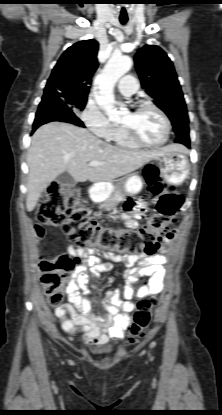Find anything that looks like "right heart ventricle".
<instances>
[{
    "instance_id": "right-heart-ventricle-1",
    "label": "right heart ventricle",
    "mask_w": 222,
    "mask_h": 415,
    "mask_svg": "<svg viewBox=\"0 0 222 415\" xmlns=\"http://www.w3.org/2000/svg\"><path fill=\"white\" fill-rule=\"evenodd\" d=\"M115 145L122 147V148H129L134 149L137 148L136 145L126 134L124 128L122 126H118L113 133L112 137L109 139Z\"/></svg>"
}]
</instances>
